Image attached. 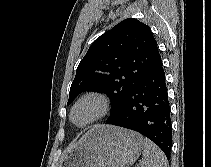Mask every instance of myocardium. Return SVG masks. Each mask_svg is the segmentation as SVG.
<instances>
[{
	"mask_svg": "<svg viewBox=\"0 0 211 167\" xmlns=\"http://www.w3.org/2000/svg\"><path fill=\"white\" fill-rule=\"evenodd\" d=\"M85 102H93L96 104L98 111L97 113L87 122L83 123V124H78L74 121L73 118V114L75 109L85 103ZM109 111V100L106 97L105 94L101 93V92H97V91H90V92H86L85 94H83L82 96H80L72 105L71 109H70V113H69V118L71 120V122L80 128L83 127H87L99 120H101L102 118H104L106 116V114Z\"/></svg>",
	"mask_w": 211,
	"mask_h": 167,
	"instance_id": "1",
	"label": "myocardium"
}]
</instances>
